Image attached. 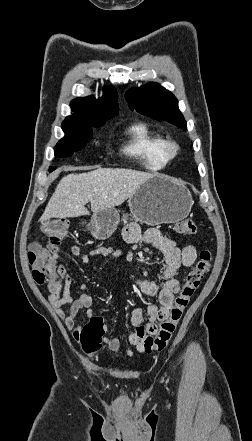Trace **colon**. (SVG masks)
Instances as JSON below:
<instances>
[{
    "label": "colon",
    "mask_w": 252,
    "mask_h": 441,
    "mask_svg": "<svg viewBox=\"0 0 252 441\" xmlns=\"http://www.w3.org/2000/svg\"><path fill=\"white\" fill-rule=\"evenodd\" d=\"M67 229L68 222L63 219L52 220L44 224L43 233L48 238V245L43 247L35 243L28 253V260L32 266V276L36 283L49 282L54 276L53 253L59 250ZM175 230L183 235H194L197 232V225L193 220L185 219L177 223ZM212 262L213 257L209 251L200 252L196 264L187 273L180 287L179 293L169 310L168 317L158 323L155 334L150 335L143 325L136 327L135 333L142 344V352L150 353L166 348L184 309L200 286L204 276L209 272ZM106 330L107 326L101 316L92 317L84 325L80 333V342L85 353L92 354L100 348Z\"/></svg>",
    "instance_id": "5ec220e1"
}]
</instances>
